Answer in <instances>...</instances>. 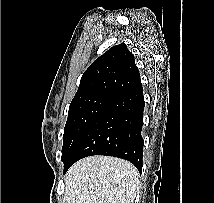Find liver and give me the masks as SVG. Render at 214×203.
Listing matches in <instances>:
<instances>
[{
    "instance_id": "1",
    "label": "liver",
    "mask_w": 214,
    "mask_h": 203,
    "mask_svg": "<svg viewBox=\"0 0 214 203\" xmlns=\"http://www.w3.org/2000/svg\"><path fill=\"white\" fill-rule=\"evenodd\" d=\"M137 169L128 161L92 156L76 162L65 176L66 203H133Z\"/></svg>"
}]
</instances>
